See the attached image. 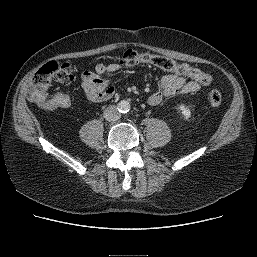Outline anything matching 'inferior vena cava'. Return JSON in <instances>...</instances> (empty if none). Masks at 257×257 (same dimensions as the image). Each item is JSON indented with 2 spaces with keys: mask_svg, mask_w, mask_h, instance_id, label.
Returning <instances> with one entry per match:
<instances>
[{
  "mask_svg": "<svg viewBox=\"0 0 257 257\" xmlns=\"http://www.w3.org/2000/svg\"><path fill=\"white\" fill-rule=\"evenodd\" d=\"M120 116L118 108L114 105L107 107L104 111V118L108 121H117Z\"/></svg>",
  "mask_w": 257,
  "mask_h": 257,
  "instance_id": "obj_1",
  "label": "inferior vena cava"
}]
</instances>
